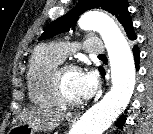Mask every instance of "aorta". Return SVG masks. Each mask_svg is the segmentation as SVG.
Instances as JSON below:
<instances>
[{"label": "aorta", "mask_w": 153, "mask_h": 134, "mask_svg": "<svg viewBox=\"0 0 153 134\" xmlns=\"http://www.w3.org/2000/svg\"><path fill=\"white\" fill-rule=\"evenodd\" d=\"M84 31L100 33L110 60L111 90L91 107L72 128V134H103L127 107L135 87L131 48L116 23L100 12H87L79 20Z\"/></svg>", "instance_id": "762f6f07"}]
</instances>
